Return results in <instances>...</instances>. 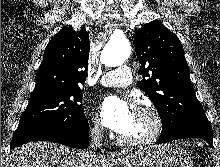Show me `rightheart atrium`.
Segmentation results:
<instances>
[{
	"mask_svg": "<svg viewBox=\"0 0 220 167\" xmlns=\"http://www.w3.org/2000/svg\"><path fill=\"white\" fill-rule=\"evenodd\" d=\"M102 130H103V126L100 123V121L97 119H94L91 126H90L91 133L100 134L102 132Z\"/></svg>",
	"mask_w": 220,
	"mask_h": 167,
	"instance_id": "obj_1",
	"label": "right heart atrium"
}]
</instances>
